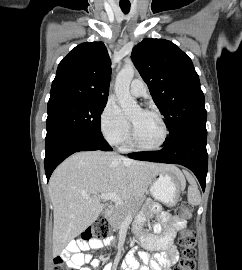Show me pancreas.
Segmentation results:
<instances>
[{"mask_svg":"<svg viewBox=\"0 0 242 270\" xmlns=\"http://www.w3.org/2000/svg\"><path fill=\"white\" fill-rule=\"evenodd\" d=\"M141 201H128L123 206L116 205L112 213L107 217L108 223L113 229H119L128 216H135L139 210Z\"/></svg>","mask_w":242,"mask_h":270,"instance_id":"pancreas-1","label":"pancreas"}]
</instances>
